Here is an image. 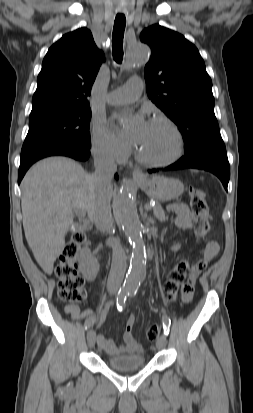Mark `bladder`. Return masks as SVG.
I'll return each mask as SVG.
<instances>
[{"mask_svg":"<svg viewBox=\"0 0 253 413\" xmlns=\"http://www.w3.org/2000/svg\"><path fill=\"white\" fill-rule=\"evenodd\" d=\"M108 365L117 371H131L143 367L146 363L142 353L115 355L107 359Z\"/></svg>","mask_w":253,"mask_h":413,"instance_id":"bladder-1","label":"bladder"}]
</instances>
